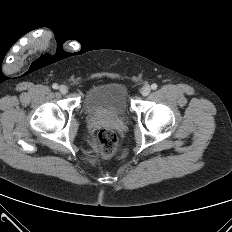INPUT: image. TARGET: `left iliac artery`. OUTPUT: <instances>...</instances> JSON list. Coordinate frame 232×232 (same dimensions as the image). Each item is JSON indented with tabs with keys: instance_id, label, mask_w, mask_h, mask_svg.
<instances>
[{
	"instance_id": "left-iliac-artery-1",
	"label": "left iliac artery",
	"mask_w": 232,
	"mask_h": 232,
	"mask_svg": "<svg viewBox=\"0 0 232 232\" xmlns=\"http://www.w3.org/2000/svg\"><path fill=\"white\" fill-rule=\"evenodd\" d=\"M151 88H152L153 90H156V89H157V84H155V83L152 84V85H151Z\"/></svg>"
}]
</instances>
